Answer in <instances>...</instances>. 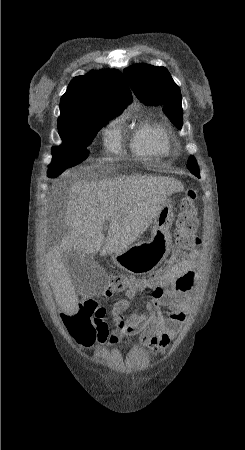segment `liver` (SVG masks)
Here are the masks:
<instances>
[{"instance_id":"1","label":"liver","mask_w":245,"mask_h":450,"mask_svg":"<svg viewBox=\"0 0 245 450\" xmlns=\"http://www.w3.org/2000/svg\"><path fill=\"white\" fill-rule=\"evenodd\" d=\"M182 190V183L170 177L120 175L88 181L75 176L65 212L69 232L45 257L53 293L66 313L73 315L79 309L66 254L100 251L104 256L127 250L149 228L167 196ZM105 221L110 222L106 239Z\"/></svg>"}]
</instances>
